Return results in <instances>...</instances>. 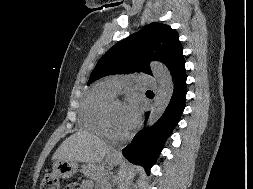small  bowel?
<instances>
[{
    "label": "small bowel",
    "mask_w": 253,
    "mask_h": 189,
    "mask_svg": "<svg viewBox=\"0 0 253 189\" xmlns=\"http://www.w3.org/2000/svg\"><path fill=\"white\" fill-rule=\"evenodd\" d=\"M67 189H90V183L84 182L82 184H72Z\"/></svg>",
    "instance_id": "small-bowel-1"
}]
</instances>
